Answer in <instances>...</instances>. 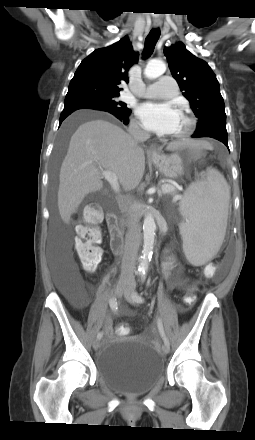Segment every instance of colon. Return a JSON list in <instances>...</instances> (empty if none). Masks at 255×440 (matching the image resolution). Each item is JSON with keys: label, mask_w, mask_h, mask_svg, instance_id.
I'll return each mask as SVG.
<instances>
[{"label": "colon", "mask_w": 255, "mask_h": 440, "mask_svg": "<svg viewBox=\"0 0 255 440\" xmlns=\"http://www.w3.org/2000/svg\"><path fill=\"white\" fill-rule=\"evenodd\" d=\"M101 218V212L96 207H88L82 216V223L76 228L75 249L80 263L85 269L96 268L101 260L102 251L97 246L102 240V232L98 227ZM195 300L194 294H188L184 298L187 305H192ZM117 331L120 335H127L130 328L123 324L118 327Z\"/></svg>", "instance_id": "1"}]
</instances>
